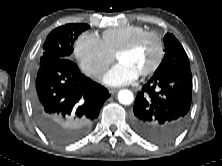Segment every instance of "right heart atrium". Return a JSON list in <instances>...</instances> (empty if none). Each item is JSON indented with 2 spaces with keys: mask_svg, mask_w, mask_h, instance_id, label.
Segmentation results:
<instances>
[{
  "mask_svg": "<svg viewBox=\"0 0 222 166\" xmlns=\"http://www.w3.org/2000/svg\"><path fill=\"white\" fill-rule=\"evenodd\" d=\"M74 55L82 72L91 79L101 78L114 56L95 34L82 33L74 44Z\"/></svg>",
  "mask_w": 222,
  "mask_h": 166,
  "instance_id": "1",
  "label": "right heart atrium"
}]
</instances>
